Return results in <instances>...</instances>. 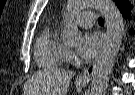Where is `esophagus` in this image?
Masks as SVG:
<instances>
[{
	"instance_id": "obj_1",
	"label": "esophagus",
	"mask_w": 135,
	"mask_h": 95,
	"mask_svg": "<svg viewBox=\"0 0 135 95\" xmlns=\"http://www.w3.org/2000/svg\"><path fill=\"white\" fill-rule=\"evenodd\" d=\"M96 68V63L90 64L88 67H86L83 72L78 77L79 82H89L92 79V76L94 74Z\"/></svg>"
}]
</instances>
